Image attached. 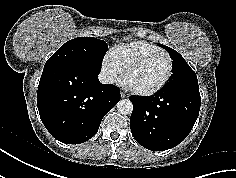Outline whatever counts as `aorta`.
Returning a JSON list of instances; mask_svg holds the SVG:
<instances>
[{
	"instance_id": "obj_1",
	"label": "aorta",
	"mask_w": 236,
	"mask_h": 178,
	"mask_svg": "<svg viewBox=\"0 0 236 178\" xmlns=\"http://www.w3.org/2000/svg\"><path fill=\"white\" fill-rule=\"evenodd\" d=\"M117 110L123 115L131 114L133 111V104L129 99H122L117 103Z\"/></svg>"
}]
</instances>
